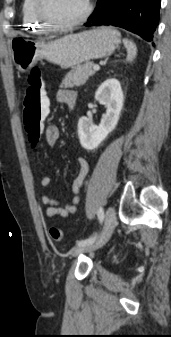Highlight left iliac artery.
I'll return each instance as SVG.
<instances>
[{
    "instance_id": "44dca946",
    "label": "left iliac artery",
    "mask_w": 171,
    "mask_h": 337,
    "mask_svg": "<svg viewBox=\"0 0 171 337\" xmlns=\"http://www.w3.org/2000/svg\"><path fill=\"white\" fill-rule=\"evenodd\" d=\"M97 216H98L100 223H102L104 220V210L102 207L98 209ZM95 239H96V235L88 239H85V240H79L76 243L77 245H85V244L92 243Z\"/></svg>"
}]
</instances>
